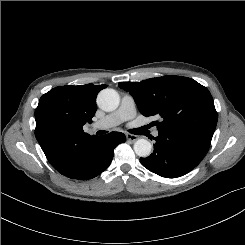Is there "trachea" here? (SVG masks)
<instances>
[{
	"label": "trachea",
	"instance_id": "obj_1",
	"mask_svg": "<svg viewBox=\"0 0 245 245\" xmlns=\"http://www.w3.org/2000/svg\"><path fill=\"white\" fill-rule=\"evenodd\" d=\"M105 133H107V131H104V130H100L97 132V134H105Z\"/></svg>",
	"mask_w": 245,
	"mask_h": 245
}]
</instances>
